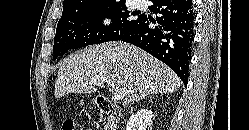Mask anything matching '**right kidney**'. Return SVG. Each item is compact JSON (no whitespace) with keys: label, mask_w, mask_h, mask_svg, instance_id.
Here are the masks:
<instances>
[{"label":"right kidney","mask_w":249,"mask_h":130,"mask_svg":"<svg viewBox=\"0 0 249 130\" xmlns=\"http://www.w3.org/2000/svg\"><path fill=\"white\" fill-rule=\"evenodd\" d=\"M153 112L148 109H140L132 114L126 124V130H146L152 125Z\"/></svg>","instance_id":"1"}]
</instances>
